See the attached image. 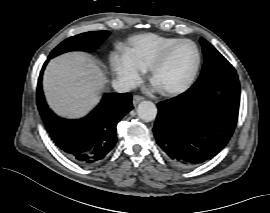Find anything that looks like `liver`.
<instances>
[{"instance_id":"1","label":"liver","mask_w":270,"mask_h":213,"mask_svg":"<svg viewBox=\"0 0 270 213\" xmlns=\"http://www.w3.org/2000/svg\"><path fill=\"white\" fill-rule=\"evenodd\" d=\"M105 78L88 55L66 53L50 61L43 78V89L50 107L59 115L78 118L99 101Z\"/></svg>"}]
</instances>
